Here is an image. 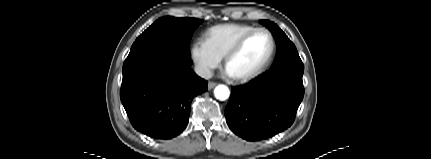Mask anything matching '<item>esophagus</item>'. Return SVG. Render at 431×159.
<instances>
[{"instance_id": "esophagus-1", "label": "esophagus", "mask_w": 431, "mask_h": 159, "mask_svg": "<svg viewBox=\"0 0 431 159\" xmlns=\"http://www.w3.org/2000/svg\"><path fill=\"white\" fill-rule=\"evenodd\" d=\"M216 85H217V83H215V82H209V83H208V89H209V90H211V89H213Z\"/></svg>"}]
</instances>
